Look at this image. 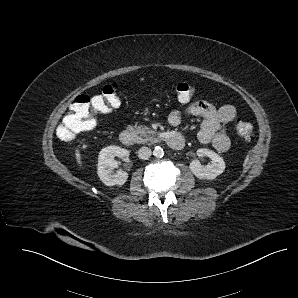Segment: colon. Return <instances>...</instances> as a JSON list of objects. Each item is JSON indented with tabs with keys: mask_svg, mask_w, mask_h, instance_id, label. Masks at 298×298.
<instances>
[{
	"mask_svg": "<svg viewBox=\"0 0 298 298\" xmlns=\"http://www.w3.org/2000/svg\"><path fill=\"white\" fill-rule=\"evenodd\" d=\"M175 92L178 100L186 103L194 97L196 90L191 84L181 82L175 86ZM119 104L118 85L114 82L106 84L97 95L75 97L58 127V136L63 140L73 139L95 126L97 113H109ZM235 131L242 140L249 141L253 137V126L247 121L238 120Z\"/></svg>",
	"mask_w": 298,
	"mask_h": 298,
	"instance_id": "obj_1",
	"label": "colon"
}]
</instances>
